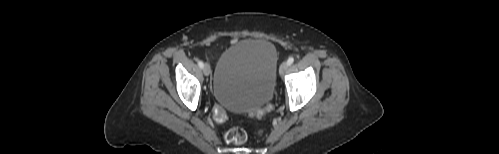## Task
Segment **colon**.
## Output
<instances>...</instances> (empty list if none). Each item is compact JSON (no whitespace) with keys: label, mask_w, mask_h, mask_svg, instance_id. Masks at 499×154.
<instances>
[{"label":"colon","mask_w":499,"mask_h":154,"mask_svg":"<svg viewBox=\"0 0 499 154\" xmlns=\"http://www.w3.org/2000/svg\"><path fill=\"white\" fill-rule=\"evenodd\" d=\"M268 108L269 106L266 109ZM264 112H265L264 109H259L253 112L252 115L261 116L264 114ZM213 119L218 124L225 123L228 119V114L226 109L223 106L216 104L213 107ZM224 138L227 142L230 143L243 144L247 140V134L242 128L234 127L225 132Z\"/></svg>","instance_id":"colon-1"}]
</instances>
